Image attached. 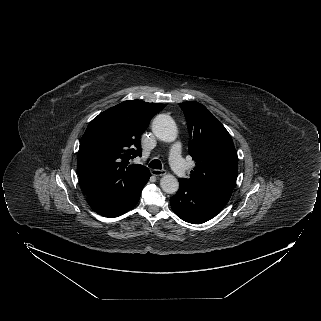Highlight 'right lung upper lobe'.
Masks as SVG:
<instances>
[{
  "label": "right lung upper lobe",
  "mask_w": 321,
  "mask_h": 321,
  "mask_svg": "<svg viewBox=\"0 0 321 321\" xmlns=\"http://www.w3.org/2000/svg\"><path fill=\"white\" fill-rule=\"evenodd\" d=\"M166 105L124 101L95 117L82 136L77 168L82 188L92 195L108 189H128L150 171L129 159L141 156L140 136L152 117Z\"/></svg>",
  "instance_id": "obj_1"
}]
</instances>
